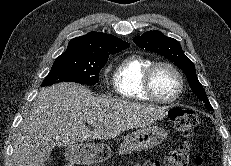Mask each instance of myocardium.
<instances>
[{
  "instance_id": "myocardium-1",
  "label": "myocardium",
  "mask_w": 231,
  "mask_h": 166,
  "mask_svg": "<svg viewBox=\"0 0 231 166\" xmlns=\"http://www.w3.org/2000/svg\"><path fill=\"white\" fill-rule=\"evenodd\" d=\"M159 67H167L170 70L174 72L176 77L178 78V90L175 93V95L171 98L164 99L158 96V94L155 92L154 87H153V76L155 71ZM185 87V80L182 72L172 63L167 62V61H157L153 62L145 71L144 74V79H143V88L145 93L150 97V99L161 103V104H171L175 102L179 97L182 95Z\"/></svg>"
}]
</instances>
